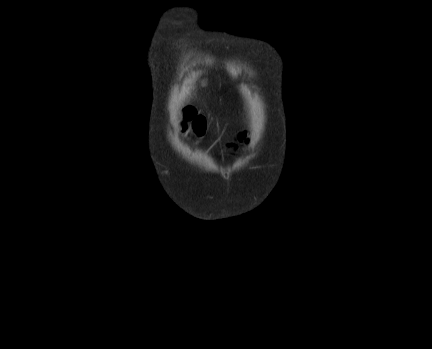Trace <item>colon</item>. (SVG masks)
Instances as JSON below:
<instances>
[{
  "mask_svg": "<svg viewBox=\"0 0 432 349\" xmlns=\"http://www.w3.org/2000/svg\"><path fill=\"white\" fill-rule=\"evenodd\" d=\"M189 124L196 134H202L205 130V122L203 117L196 115L192 110L187 111Z\"/></svg>",
  "mask_w": 432,
  "mask_h": 349,
  "instance_id": "colon-1",
  "label": "colon"
}]
</instances>
